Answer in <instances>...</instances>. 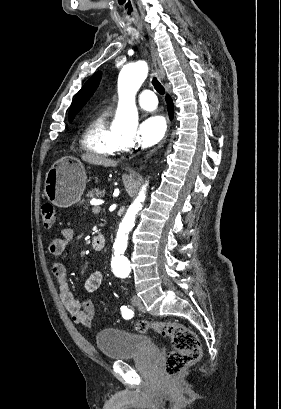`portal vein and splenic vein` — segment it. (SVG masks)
I'll return each mask as SVG.
<instances>
[{
  "instance_id": "18ae733b",
  "label": "portal vein and splenic vein",
  "mask_w": 281,
  "mask_h": 409,
  "mask_svg": "<svg viewBox=\"0 0 281 409\" xmlns=\"http://www.w3.org/2000/svg\"><path fill=\"white\" fill-rule=\"evenodd\" d=\"M93 215L95 216V217H100L101 216V209H100V207L99 206H94L93 207Z\"/></svg>"
}]
</instances>
